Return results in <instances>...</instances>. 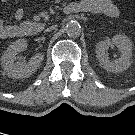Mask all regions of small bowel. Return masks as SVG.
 <instances>
[{"label": "small bowel", "mask_w": 135, "mask_h": 135, "mask_svg": "<svg viewBox=\"0 0 135 135\" xmlns=\"http://www.w3.org/2000/svg\"><path fill=\"white\" fill-rule=\"evenodd\" d=\"M8 0H1L7 2ZM84 8L92 13H101L108 17H117L119 10L112 0H87ZM24 16L23 8H19L15 12V20L19 22ZM20 33V27L16 24H8L0 20V39L16 36Z\"/></svg>", "instance_id": "1"}]
</instances>
